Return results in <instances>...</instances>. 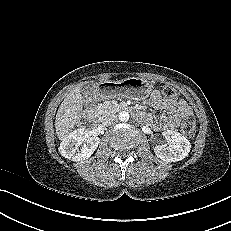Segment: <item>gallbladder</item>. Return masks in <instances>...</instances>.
Masks as SVG:
<instances>
[{
  "label": "gallbladder",
  "mask_w": 231,
  "mask_h": 231,
  "mask_svg": "<svg viewBox=\"0 0 231 231\" xmlns=\"http://www.w3.org/2000/svg\"><path fill=\"white\" fill-rule=\"evenodd\" d=\"M96 91H98V84L93 81L86 82L81 87V92L84 96L93 95Z\"/></svg>",
  "instance_id": "gallbladder-1"
}]
</instances>
